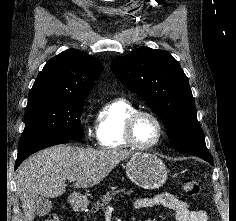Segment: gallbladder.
<instances>
[{
	"label": "gallbladder",
	"mask_w": 236,
	"mask_h": 221,
	"mask_svg": "<svg viewBox=\"0 0 236 221\" xmlns=\"http://www.w3.org/2000/svg\"><path fill=\"white\" fill-rule=\"evenodd\" d=\"M36 215L38 216H45L49 214L52 209V201L48 198L43 196H38L36 200Z\"/></svg>",
	"instance_id": "gallbladder-1"
}]
</instances>
